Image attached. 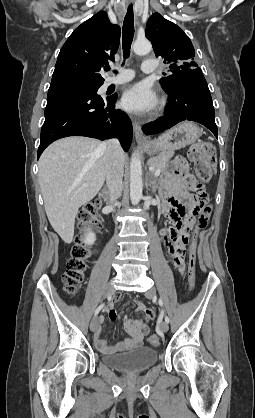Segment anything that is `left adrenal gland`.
Listing matches in <instances>:
<instances>
[{
  "label": "left adrenal gland",
  "instance_id": "left-adrenal-gland-1",
  "mask_svg": "<svg viewBox=\"0 0 255 418\" xmlns=\"http://www.w3.org/2000/svg\"><path fill=\"white\" fill-rule=\"evenodd\" d=\"M149 185L152 188L153 192H155L156 191V188H157L156 182L153 181V180H150V184Z\"/></svg>",
  "mask_w": 255,
  "mask_h": 418
}]
</instances>
